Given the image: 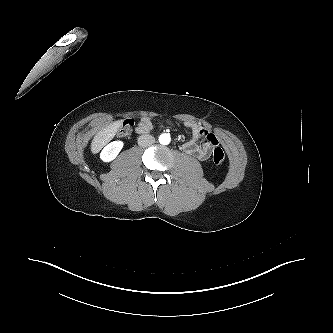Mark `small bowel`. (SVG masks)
Instances as JSON below:
<instances>
[{
  "label": "small bowel",
  "mask_w": 333,
  "mask_h": 333,
  "mask_svg": "<svg viewBox=\"0 0 333 333\" xmlns=\"http://www.w3.org/2000/svg\"><path fill=\"white\" fill-rule=\"evenodd\" d=\"M189 127L192 130V137L183 144L184 151L200 161L207 160L212 148L219 143L217 137L197 125L189 124ZM152 128V121L149 118H143L138 125L137 133L147 134Z\"/></svg>",
  "instance_id": "c3829d8e"
}]
</instances>
